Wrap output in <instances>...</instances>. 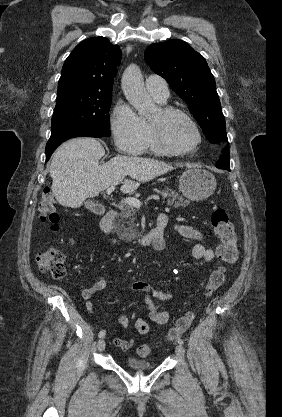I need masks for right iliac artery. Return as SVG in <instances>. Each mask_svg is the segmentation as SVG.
<instances>
[{"mask_svg":"<svg viewBox=\"0 0 282 417\" xmlns=\"http://www.w3.org/2000/svg\"><path fill=\"white\" fill-rule=\"evenodd\" d=\"M106 332L105 330H101L98 334L99 338H103L105 336Z\"/></svg>","mask_w":282,"mask_h":417,"instance_id":"1","label":"right iliac artery"}]
</instances>
